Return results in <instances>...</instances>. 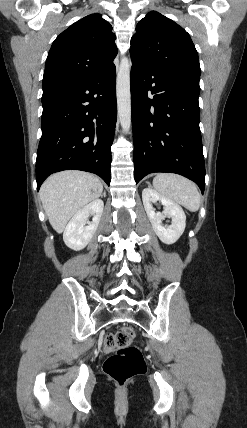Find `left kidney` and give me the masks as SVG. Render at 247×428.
Wrapping results in <instances>:
<instances>
[{
  "label": "left kidney",
  "instance_id": "left-kidney-1",
  "mask_svg": "<svg viewBox=\"0 0 247 428\" xmlns=\"http://www.w3.org/2000/svg\"><path fill=\"white\" fill-rule=\"evenodd\" d=\"M142 200L152 228L159 239L165 244L175 243L183 234L186 226V215L180 205L148 187L142 191ZM159 201L164 206L163 212H155L152 203ZM165 217L172 219V224L163 226Z\"/></svg>",
  "mask_w": 247,
  "mask_h": 428
}]
</instances>
